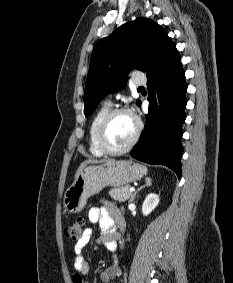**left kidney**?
<instances>
[{
  "mask_svg": "<svg viewBox=\"0 0 233 283\" xmlns=\"http://www.w3.org/2000/svg\"><path fill=\"white\" fill-rule=\"evenodd\" d=\"M159 197L156 194H149L143 202L142 213L148 216L158 205Z\"/></svg>",
  "mask_w": 233,
  "mask_h": 283,
  "instance_id": "left-kidney-1",
  "label": "left kidney"
}]
</instances>
